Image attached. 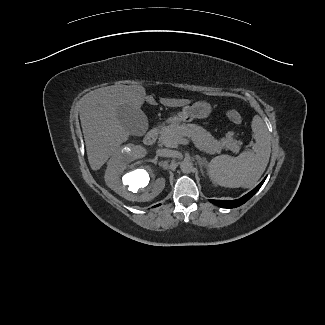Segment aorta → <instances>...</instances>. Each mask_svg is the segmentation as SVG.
Returning a JSON list of instances; mask_svg holds the SVG:
<instances>
[{
	"mask_svg": "<svg viewBox=\"0 0 325 325\" xmlns=\"http://www.w3.org/2000/svg\"><path fill=\"white\" fill-rule=\"evenodd\" d=\"M180 169L183 173H191L193 169V164L190 160H184L180 164Z\"/></svg>",
	"mask_w": 325,
	"mask_h": 325,
	"instance_id": "1",
	"label": "aorta"
}]
</instances>
